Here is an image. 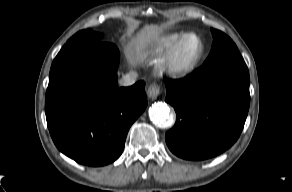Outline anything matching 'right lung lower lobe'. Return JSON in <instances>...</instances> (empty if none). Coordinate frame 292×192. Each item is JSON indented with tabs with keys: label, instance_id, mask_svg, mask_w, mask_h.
<instances>
[{
	"label": "right lung lower lobe",
	"instance_id": "98d812e1",
	"mask_svg": "<svg viewBox=\"0 0 292 192\" xmlns=\"http://www.w3.org/2000/svg\"><path fill=\"white\" fill-rule=\"evenodd\" d=\"M118 62L117 47L98 42L63 46L52 63L45 100L48 129L56 147L78 163L115 161L147 106L144 81L118 87Z\"/></svg>",
	"mask_w": 292,
	"mask_h": 192
}]
</instances>
